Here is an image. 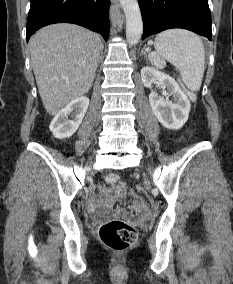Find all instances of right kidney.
<instances>
[{
  "label": "right kidney",
  "mask_w": 233,
  "mask_h": 284,
  "mask_svg": "<svg viewBox=\"0 0 233 284\" xmlns=\"http://www.w3.org/2000/svg\"><path fill=\"white\" fill-rule=\"evenodd\" d=\"M88 105L89 99L81 96L72 100L65 108L59 111L50 123V131L54 137L58 139L71 137L80 126Z\"/></svg>",
  "instance_id": "right-kidney-1"
}]
</instances>
